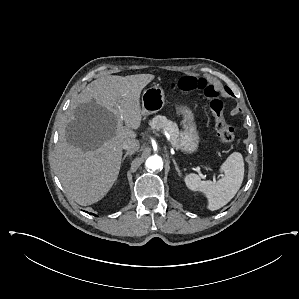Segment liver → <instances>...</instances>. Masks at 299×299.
Listing matches in <instances>:
<instances>
[{
  "mask_svg": "<svg viewBox=\"0 0 299 299\" xmlns=\"http://www.w3.org/2000/svg\"><path fill=\"white\" fill-rule=\"evenodd\" d=\"M154 77L104 76L72 102L57 145L56 169L65 192L79 205L98 202L115 183L122 143L134 139L133 130L141 125V91Z\"/></svg>",
  "mask_w": 299,
  "mask_h": 299,
  "instance_id": "obj_1",
  "label": "liver"
}]
</instances>
